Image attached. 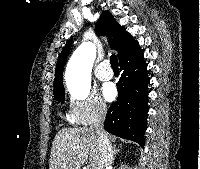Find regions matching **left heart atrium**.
I'll return each instance as SVG.
<instances>
[{
	"label": "left heart atrium",
	"instance_id": "1",
	"mask_svg": "<svg viewBox=\"0 0 200 169\" xmlns=\"http://www.w3.org/2000/svg\"><path fill=\"white\" fill-rule=\"evenodd\" d=\"M102 92L104 98L108 101H112L116 97V88L113 84H106Z\"/></svg>",
	"mask_w": 200,
	"mask_h": 169
}]
</instances>
